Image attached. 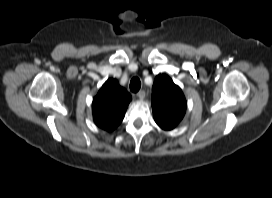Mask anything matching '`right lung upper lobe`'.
Wrapping results in <instances>:
<instances>
[{
    "label": "right lung upper lobe",
    "mask_w": 272,
    "mask_h": 198,
    "mask_svg": "<svg viewBox=\"0 0 272 198\" xmlns=\"http://www.w3.org/2000/svg\"><path fill=\"white\" fill-rule=\"evenodd\" d=\"M131 95L115 79H108L93 99L94 121L100 128L112 131L123 120Z\"/></svg>",
    "instance_id": "cb5924a9"
}]
</instances>
